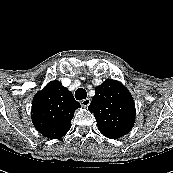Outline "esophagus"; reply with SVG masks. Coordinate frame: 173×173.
<instances>
[{
  "label": "esophagus",
  "instance_id": "esophagus-1",
  "mask_svg": "<svg viewBox=\"0 0 173 173\" xmlns=\"http://www.w3.org/2000/svg\"><path fill=\"white\" fill-rule=\"evenodd\" d=\"M90 102H91L90 98H86L81 101V105L87 107L89 106Z\"/></svg>",
  "mask_w": 173,
  "mask_h": 173
}]
</instances>
